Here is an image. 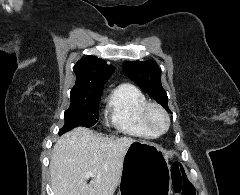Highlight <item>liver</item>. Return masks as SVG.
<instances>
[{"label": "liver", "instance_id": "liver-1", "mask_svg": "<svg viewBox=\"0 0 240 195\" xmlns=\"http://www.w3.org/2000/svg\"><path fill=\"white\" fill-rule=\"evenodd\" d=\"M133 137H106L88 127H74L52 149L50 179L54 195H114L127 147ZM86 171L95 177L87 183Z\"/></svg>", "mask_w": 240, "mask_h": 195}]
</instances>
